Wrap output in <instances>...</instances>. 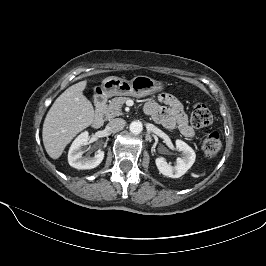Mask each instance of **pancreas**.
I'll use <instances>...</instances> for the list:
<instances>
[{"label":"pancreas","mask_w":266,"mask_h":266,"mask_svg":"<svg viewBox=\"0 0 266 266\" xmlns=\"http://www.w3.org/2000/svg\"><path fill=\"white\" fill-rule=\"evenodd\" d=\"M128 100V97H115L101 107L102 113L106 119H112L116 116L122 115V105Z\"/></svg>","instance_id":"obj_1"}]
</instances>
